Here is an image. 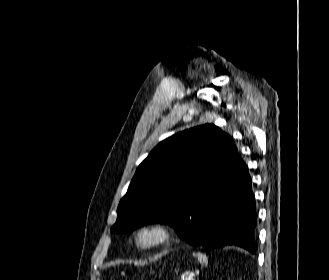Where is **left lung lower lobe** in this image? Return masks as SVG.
Returning a JSON list of instances; mask_svg holds the SVG:
<instances>
[{
	"mask_svg": "<svg viewBox=\"0 0 329 280\" xmlns=\"http://www.w3.org/2000/svg\"><path fill=\"white\" fill-rule=\"evenodd\" d=\"M226 185L201 202L195 219L176 228L180 238L194 246L242 247L255 253L257 222L255 198L246 164L239 154L232 159ZM230 185V186H229Z\"/></svg>",
	"mask_w": 329,
	"mask_h": 280,
	"instance_id": "left-lung-lower-lobe-1",
	"label": "left lung lower lobe"
}]
</instances>
